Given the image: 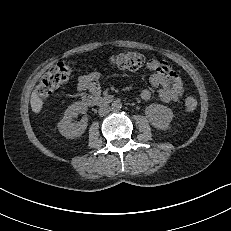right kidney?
<instances>
[{"label":"right kidney","mask_w":231,"mask_h":231,"mask_svg":"<svg viewBox=\"0 0 231 231\" xmlns=\"http://www.w3.org/2000/svg\"><path fill=\"white\" fill-rule=\"evenodd\" d=\"M87 110V106L83 102H75L69 106L63 119L58 123L59 132L66 138L81 136L87 128V118H83L78 123H73L72 119L77 117L79 113L85 114Z\"/></svg>","instance_id":"right-kidney-1"}]
</instances>
